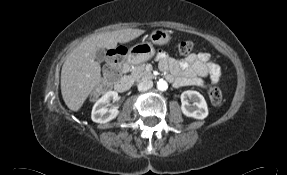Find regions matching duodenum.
Returning a JSON list of instances; mask_svg holds the SVG:
<instances>
[{"mask_svg":"<svg viewBox=\"0 0 287 175\" xmlns=\"http://www.w3.org/2000/svg\"><path fill=\"white\" fill-rule=\"evenodd\" d=\"M128 66H129V62H127L124 66H123V70H127L128 69ZM111 76H112V72H107L105 74V79L107 81H110L111 80ZM167 78V77H166ZM168 80V78H167ZM170 81V80H168ZM131 86V79L129 77H124L120 80H117L116 83H115V87L118 91L120 92H126L129 90Z\"/></svg>","mask_w":287,"mask_h":175,"instance_id":"1","label":"duodenum"}]
</instances>
